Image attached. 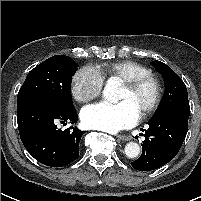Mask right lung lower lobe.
<instances>
[{
  "mask_svg": "<svg viewBox=\"0 0 201 201\" xmlns=\"http://www.w3.org/2000/svg\"><path fill=\"white\" fill-rule=\"evenodd\" d=\"M75 108H64L48 98H31L17 105L20 138L27 151L50 167L65 166L79 156V129L61 131L56 123L77 122Z\"/></svg>",
  "mask_w": 201,
  "mask_h": 201,
  "instance_id": "right-lung-lower-lobe-1",
  "label": "right lung lower lobe"
}]
</instances>
